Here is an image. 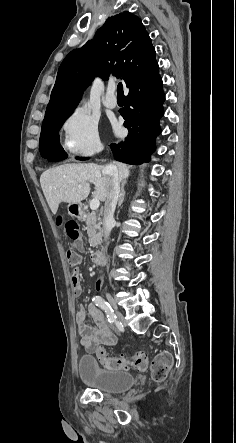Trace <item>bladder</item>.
Segmentation results:
<instances>
[{
  "label": "bladder",
  "instance_id": "obj_1",
  "mask_svg": "<svg viewBox=\"0 0 236 443\" xmlns=\"http://www.w3.org/2000/svg\"><path fill=\"white\" fill-rule=\"evenodd\" d=\"M78 374L81 381L90 388L109 393L125 392L135 384L132 374L117 369L102 368L90 355L79 358Z\"/></svg>",
  "mask_w": 236,
  "mask_h": 443
}]
</instances>
